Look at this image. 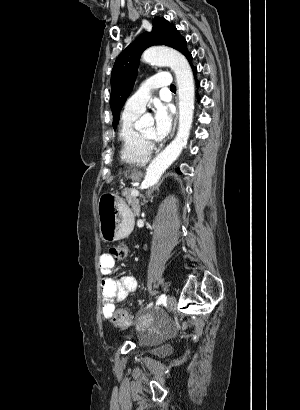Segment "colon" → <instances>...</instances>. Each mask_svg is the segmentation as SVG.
Masks as SVG:
<instances>
[{
	"label": "colon",
	"mask_w": 300,
	"mask_h": 410,
	"mask_svg": "<svg viewBox=\"0 0 300 410\" xmlns=\"http://www.w3.org/2000/svg\"><path fill=\"white\" fill-rule=\"evenodd\" d=\"M110 254L117 260H124L128 257L129 254V248L127 245H114L110 248ZM111 322L115 326L119 327H127L132 323V318L129 316V314L122 310V309H117L112 312L111 314Z\"/></svg>",
	"instance_id": "colon-1"
}]
</instances>
